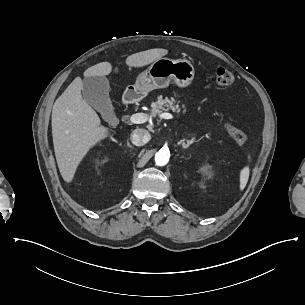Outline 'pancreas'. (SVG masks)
Listing matches in <instances>:
<instances>
[{"mask_svg":"<svg viewBox=\"0 0 305 305\" xmlns=\"http://www.w3.org/2000/svg\"><path fill=\"white\" fill-rule=\"evenodd\" d=\"M181 101H176L174 97H165L163 98L162 95L159 96L158 101L154 102L152 105L153 107V113L154 115H158L162 112H167L169 110H172L173 112H177L179 115L182 112V114H186L187 109L186 105L182 104ZM201 123H204V121H201ZM208 126H211L210 122H207Z\"/></svg>","mask_w":305,"mask_h":305,"instance_id":"pancreas-1","label":"pancreas"}]
</instances>
